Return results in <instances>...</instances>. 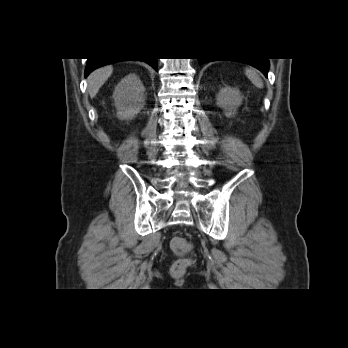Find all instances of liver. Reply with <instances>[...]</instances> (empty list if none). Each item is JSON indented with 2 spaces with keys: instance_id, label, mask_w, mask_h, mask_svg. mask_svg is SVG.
I'll return each instance as SVG.
<instances>
[{
  "instance_id": "obj_1",
  "label": "liver",
  "mask_w": 348,
  "mask_h": 348,
  "mask_svg": "<svg viewBox=\"0 0 348 348\" xmlns=\"http://www.w3.org/2000/svg\"><path fill=\"white\" fill-rule=\"evenodd\" d=\"M113 72L111 65L101 67L93 71L88 79V92L91 98H94L102 85L108 80Z\"/></svg>"
}]
</instances>
